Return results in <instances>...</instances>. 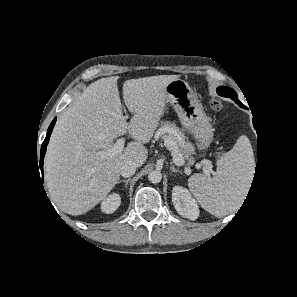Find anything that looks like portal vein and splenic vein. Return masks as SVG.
I'll list each match as a JSON object with an SVG mask.
<instances>
[{
	"label": "portal vein and splenic vein",
	"mask_w": 297,
	"mask_h": 297,
	"mask_svg": "<svg viewBox=\"0 0 297 297\" xmlns=\"http://www.w3.org/2000/svg\"><path fill=\"white\" fill-rule=\"evenodd\" d=\"M162 132H167L166 129H163ZM124 145H125V139L124 138H120L116 141V143L112 146V147H109L108 149L106 150H102L100 152V154L103 156V157H111V156H114L116 154H119L121 153L123 150H124ZM164 145L165 147L170 150V151H173V145L174 143L168 139L164 140ZM172 155H173V152H172ZM174 156V155H173ZM175 158V162L179 165H183L184 164V158L182 156H174ZM198 167H201V164H197ZM212 171V165L211 163H207L206 166L203 168V172L207 175H209ZM185 173L187 175H189L191 173V170L189 168V166L185 169Z\"/></svg>",
	"instance_id": "1"
}]
</instances>
